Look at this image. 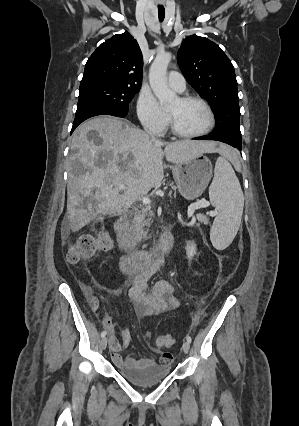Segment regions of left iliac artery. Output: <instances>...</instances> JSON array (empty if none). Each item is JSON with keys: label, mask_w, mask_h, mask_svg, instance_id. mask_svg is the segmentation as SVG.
I'll return each instance as SVG.
<instances>
[{"label": "left iliac artery", "mask_w": 299, "mask_h": 426, "mask_svg": "<svg viewBox=\"0 0 299 426\" xmlns=\"http://www.w3.org/2000/svg\"><path fill=\"white\" fill-rule=\"evenodd\" d=\"M186 340H187L189 343H191V341H192V339H191V337H190L189 335H187V336H186Z\"/></svg>", "instance_id": "left-iliac-artery-1"}]
</instances>
